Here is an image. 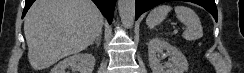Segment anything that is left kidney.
Here are the masks:
<instances>
[{"mask_svg": "<svg viewBox=\"0 0 244 73\" xmlns=\"http://www.w3.org/2000/svg\"><path fill=\"white\" fill-rule=\"evenodd\" d=\"M166 51L169 62L160 63L159 54ZM149 65L152 73H185L188 71V61L184 54L176 47L158 38L151 39L148 43Z\"/></svg>", "mask_w": 244, "mask_h": 73, "instance_id": "5707ae66", "label": "left kidney"}]
</instances>
